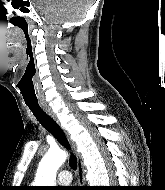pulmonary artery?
Segmentation results:
<instances>
[{
  "instance_id": "e3ab8cb5",
  "label": "pulmonary artery",
  "mask_w": 165,
  "mask_h": 190,
  "mask_svg": "<svg viewBox=\"0 0 165 190\" xmlns=\"http://www.w3.org/2000/svg\"><path fill=\"white\" fill-rule=\"evenodd\" d=\"M57 179L60 184H69L72 180L71 172L68 170H61L58 173Z\"/></svg>"
}]
</instances>
